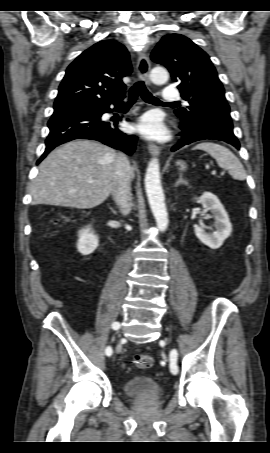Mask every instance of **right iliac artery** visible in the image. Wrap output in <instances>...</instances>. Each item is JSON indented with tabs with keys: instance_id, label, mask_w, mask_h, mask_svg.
Returning a JSON list of instances; mask_svg holds the SVG:
<instances>
[{
	"instance_id": "obj_1",
	"label": "right iliac artery",
	"mask_w": 270,
	"mask_h": 453,
	"mask_svg": "<svg viewBox=\"0 0 270 453\" xmlns=\"http://www.w3.org/2000/svg\"><path fill=\"white\" fill-rule=\"evenodd\" d=\"M119 327H120V324H119L118 322H114V323L112 324V328H113L114 330L119 329ZM105 353H106L107 356H111L112 353H113L112 348H111L110 346H108V347L106 348V350H105Z\"/></svg>"
}]
</instances>
